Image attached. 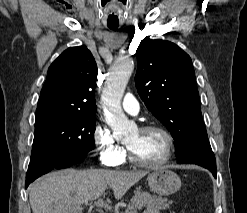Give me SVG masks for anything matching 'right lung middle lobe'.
Masks as SVG:
<instances>
[{"label":"right lung middle lobe","mask_w":247,"mask_h":213,"mask_svg":"<svg viewBox=\"0 0 247 213\" xmlns=\"http://www.w3.org/2000/svg\"><path fill=\"white\" fill-rule=\"evenodd\" d=\"M95 119L96 114L46 113L35 116L30 163L52 153L67 158L88 154L95 146Z\"/></svg>","instance_id":"right-lung-middle-lobe-1"}]
</instances>
